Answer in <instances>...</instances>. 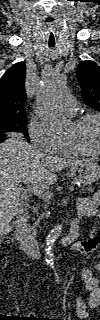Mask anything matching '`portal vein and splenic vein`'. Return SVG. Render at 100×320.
Segmentation results:
<instances>
[{
  "label": "portal vein and splenic vein",
  "mask_w": 100,
  "mask_h": 320,
  "mask_svg": "<svg viewBox=\"0 0 100 320\" xmlns=\"http://www.w3.org/2000/svg\"><path fill=\"white\" fill-rule=\"evenodd\" d=\"M24 183L28 186V188L36 195H38L39 197L45 199V200H49L53 197V193L49 190H46L42 187H40L36 182H34L33 180H26V179H20L17 181V183Z\"/></svg>",
  "instance_id": "obj_1"
}]
</instances>
